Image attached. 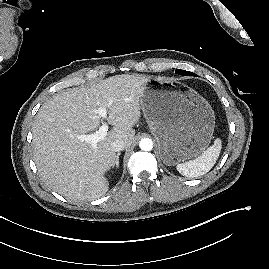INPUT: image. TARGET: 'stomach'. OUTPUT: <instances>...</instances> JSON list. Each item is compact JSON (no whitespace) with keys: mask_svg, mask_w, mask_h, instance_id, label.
<instances>
[{"mask_svg":"<svg viewBox=\"0 0 269 269\" xmlns=\"http://www.w3.org/2000/svg\"><path fill=\"white\" fill-rule=\"evenodd\" d=\"M140 105L166 165L193 158L210 143L214 111L193 89L176 81L149 78Z\"/></svg>","mask_w":269,"mask_h":269,"instance_id":"1","label":"stomach"}]
</instances>
